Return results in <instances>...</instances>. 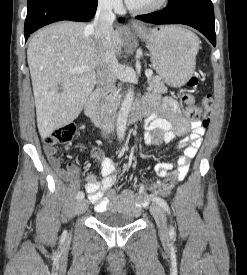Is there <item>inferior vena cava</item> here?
Segmentation results:
<instances>
[{
  "instance_id": "1",
  "label": "inferior vena cava",
  "mask_w": 247,
  "mask_h": 275,
  "mask_svg": "<svg viewBox=\"0 0 247 275\" xmlns=\"http://www.w3.org/2000/svg\"><path fill=\"white\" fill-rule=\"evenodd\" d=\"M111 0H99L97 12L92 24L87 26V30L93 33L97 44L104 46L106 50V59L112 65L116 66L117 58L115 49L112 45L113 22L115 14L112 12ZM98 84L102 88L105 95L111 94L115 88V77L111 71L98 70ZM104 118L109 119L108 112L104 113ZM105 138H108L106 133H102Z\"/></svg>"
}]
</instances>
